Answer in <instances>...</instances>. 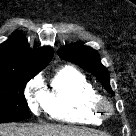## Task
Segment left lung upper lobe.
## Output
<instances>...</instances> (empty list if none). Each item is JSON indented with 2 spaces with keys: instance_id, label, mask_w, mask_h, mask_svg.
<instances>
[{
  "instance_id": "1",
  "label": "left lung upper lobe",
  "mask_w": 136,
  "mask_h": 136,
  "mask_svg": "<svg viewBox=\"0 0 136 136\" xmlns=\"http://www.w3.org/2000/svg\"><path fill=\"white\" fill-rule=\"evenodd\" d=\"M58 55L92 73L109 93L114 94L110 86L108 70L100 62L96 50L85 46L66 45L59 49Z\"/></svg>"
}]
</instances>
